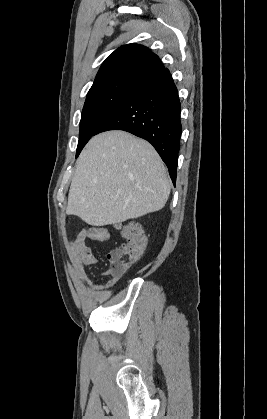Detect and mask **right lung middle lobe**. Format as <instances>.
Here are the masks:
<instances>
[{
	"mask_svg": "<svg viewBox=\"0 0 267 419\" xmlns=\"http://www.w3.org/2000/svg\"><path fill=\"white\" fill-rule=\"evenodd\" d=\"M135 89L111 90L87 96L80 121L79 141L76 158L95 135L101 123L122 103Z\"/></svg>",
	"mask_w": 267,
	"mask_h": 419,
	"instance_id": "dd1d6c3e",
	"label": "right lung middle lobe"
}]
</instances>
